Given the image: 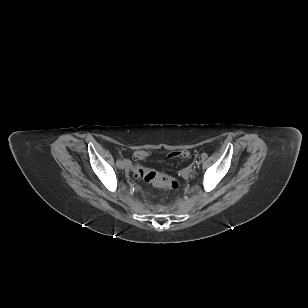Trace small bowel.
Listing matches in <instances>:
<instances>
[{
	"mask_svg": "<svg viewBox=\"0 0 308 308\" xmlns=\"http://www.w3.org/2000/svg\"><path fill=\"white\" fill-rule=\"evenodd\" d=\"M128 164V167H130V164L129 163H127Z\"/></svg>",
	"mask_w": 308,
	"mask_h": 308,
	"instance_id": "obj_1",
	"label": "small bowel"
}]
</instances>
